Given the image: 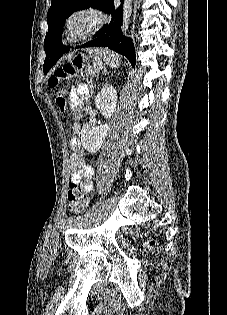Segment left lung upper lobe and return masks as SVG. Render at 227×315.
Listing matches in <instances>:
<instances>
[{"label": "left lung upper lobe", "mask_w": 227, "mask_h": 315, "mask_svg": "<svg viewBox=\"0 0 227 315\" xmlns=\"http://www.w3.org/2000/svg\"><path fill=\"white\" fill-rule=\"evenodd\" d=\"M108 1L109 0H52L51 7L47 13L48 32L44 40V45H47L52 40H60L63 32V24L66 18L73 12L89 7L104 10Z\"/></svg>", "instance_id": "1"}]
</instances>
